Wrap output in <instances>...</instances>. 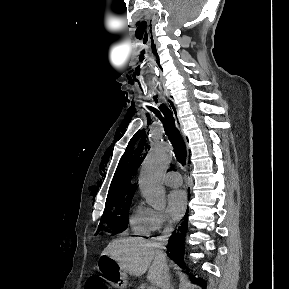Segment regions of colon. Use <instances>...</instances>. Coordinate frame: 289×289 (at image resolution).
<instances>
[{"instance_id":"colon-1","label":"colon","mask_w":289,"mask_h":289,"mask_svg":"<svg viewBox=\"0 0 289 289\" xmlns=\"http://www.w3.org/2000/svg\"><path fill=\"white\" fill-rule=\"evenodd\" d=\"M85 289H109V286L102 278L91 277L88 279Z\"/></svg>"}]
</instances>
